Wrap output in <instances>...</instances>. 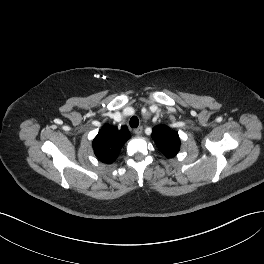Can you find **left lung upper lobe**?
<instances>
[{
	"label": "left lung upper lobe",
	"mask_w": 264,
	"mask_h": 264,
	"mask_svg": "<svg viewBox=\"0 0 264 264\" xmlns=\"http://www.w3.org/2000/svg\"><path fill=\"white\" fill-rule=\"evenodd\" d=\"M151 136L153 137L158 149L166 157H174L179 152L180 139L178 133L171 131L168 126H155Z\"/></svg>",
	"instance_id": "obj_1"
}]
</instances>
